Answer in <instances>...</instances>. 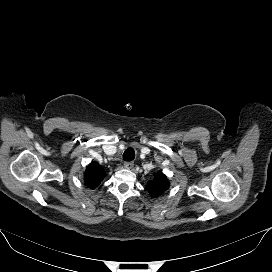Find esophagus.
<instances>
[{"mask_svg": "<svg viewBox=\"0 0 272 272\" xmlns=\"http://www.w3.org/2000/svg\"><path fill=\"white\" fill-rule=\"evenodd\" d=\"M133 166H134V163L132 161L124 163V167L126 169H131V168H133Z\"/></svg>", "mask_w": 272, "mask_h": 272, "instance_id": "34e87169", "label": "esophagus"}]
</instances>
